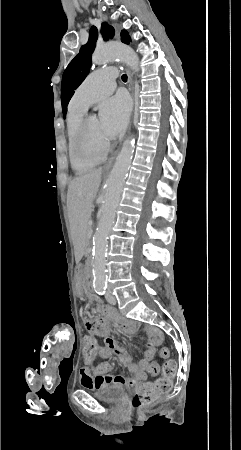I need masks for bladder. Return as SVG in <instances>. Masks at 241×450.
Here are the masks:
<instances>
[{
    "label": "bladder",
    "instance_id": "bladder-1",
    "mask_svg": "<svg viewBox=\"0 0 241 450\" xmlns=\"http://www.w3.org/2000/svg\"><path fill=\"white\" fill-rule=\"evenodd\" d=\"M94 395L100 400L107 402H118L124 398L125 390L122 386L108 385L96 390Z\"/></svg>",
    "mask_w": 241,
    "mask_h": 450
}]
</instances>
